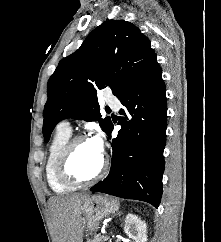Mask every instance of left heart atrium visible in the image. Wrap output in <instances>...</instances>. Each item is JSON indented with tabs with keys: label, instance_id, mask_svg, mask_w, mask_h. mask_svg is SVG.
Masks as SVG:
<instances>
[{
	"label": "left heart atrium",
	"instance_id": "obj_1",
	"mask_svg": "<svg viewBox=\"0 0 221 242\" xmlns=\"http://www.w3.org/2000/svg\"><path fill=\"white\" fill-rule=\"evenodd\" d=\"M89 141L98 152L103 153L104 141L100 132L97 131L92 135Z\"/></svg>",
	"mask_w": 221,
	"mask_h": 242
}]
</instances>
